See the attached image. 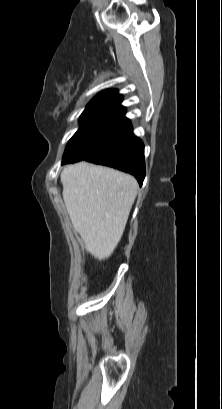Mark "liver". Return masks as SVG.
<instances>
[{"label": "liver", "instance_id": "obj_1", "mask_svg": "<svg viewBox=\"0 0 222 409\" xmlns=\"http://www.w3.org/2000/svg\"><path fill=\"white\" fill-rule=\"evenodd\" d=\"M63 199L87 251L108 258L123 235L135 201L136 179L112 168L79 162L61 172Z\"/></svg>", "mask_w": 222, "mask_h": 409}]
</instances>
